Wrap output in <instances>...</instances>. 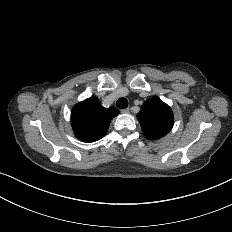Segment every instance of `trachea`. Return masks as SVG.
<instances>
[{"mask_svg":"<svg viewBox=\"0 0 232 232\" xmlns=\"http://www.w3.org/2000/svg\"><path fill=\"white\" fill-rule=\"evenodd\" d=\"M116 106L119 108V109H125L128 107V101L127 99L125 98H120L117 100L116 102Z\"/></svg>","mask_w":232,"mask_h":232,"instance_id":"obj_1","label":"trachea"}]
</instances>
